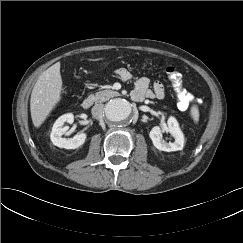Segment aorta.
Listing matches in <instances>:
<instances>
[{"label": "aorta", "mask_w": 243, "mask_h": 243, "mask_svg": "<svg viewBox=\"0 0 243 243\" xmlns=\"http://www.w3.org/2000/svg\"><path fill=\"white\" fill-rule=\"evenodd\" d=\"M131 114V106L124 99H114L105 106V115L108 120L121 123L126 121Z\"/></svg>", "instance_id": "1"}]
</instances>
